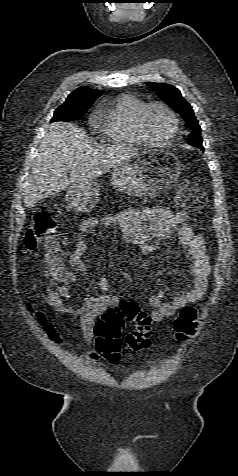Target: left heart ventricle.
Returning <instances> with one entry per match:
<instances>
[{"label":"left heart ventricle","instance_id":"left-heart-ventricle-1","mask_svg":"<svg viewBox=\"0 0 238 476\" xmlns=\"http://www.w3.org/2000/svg\"><path fill=\"white\" fill-rule=\"evenodd\" d=\"M145 125L148 133L157 140L166 139L173 131L172 119L160 107H153L147 112Z\"/></svg>","mask_w":238,"mask_h":476}]
</instances>
